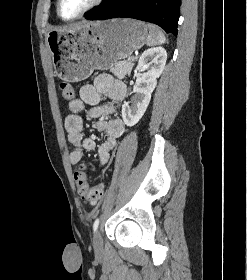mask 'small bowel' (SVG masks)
<instances>
[{
  "label": "small bowel",
  "mask_w": 247,
  "mask_h": 280,
  "mask_svg": "<svg viewBox=\"0 0 247 280\" xmlns=\"http://www.w3.org/2000/svg\"><path fill=\"white\" fill-rule=\"evenodd\" d=\"M126 91V85L122 81L108 74H101L93 84H86L80 88V97L68 104L70 114L64 120L68 140L74 146L69 154L71 164L83 165L84 152L91 151L96 146L94 139L84 136L83 133L82 114L86 106H89V116L96 120L97 130L105 133V138L98 148V166H103L108 162L110 152L124 133L125 125L121 119L112 116L114 109L111 104L100 105L101 97L105 95L111 101H121ZM90 203L94 204L96 201H90Z\"/></svg>",
  "instance_id": "c3829d8e"
}]
</instances>
